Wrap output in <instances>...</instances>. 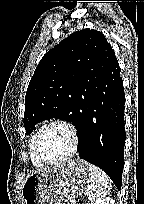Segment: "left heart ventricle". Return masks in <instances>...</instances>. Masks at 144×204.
Returning a JSON list of instances; mask_svg holds the SVG:
<instances>
[{"instance_id":"left-heart-ventricle-1","label":"left heart ventricle","mask_w":144,"mask_h":204,"mask_svg":"<svg viewBox=\"0 0 144 204\" xmlns=\"http://www.w3.org/2000/svg\"><path fill=\"white\" fill-rule=\"evenodd\" d=\"M71 148V137L62 127H50L40 136L37 144L39 156L44 160H56L66 155Z\"/></svg>"}]
</instances>
